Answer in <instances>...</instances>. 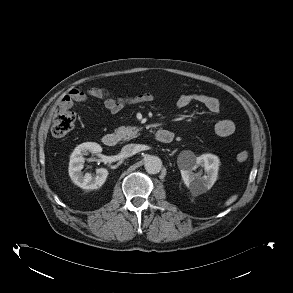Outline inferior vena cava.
Returning a JSON list of instances; mask_svg holds the SVG:
<instances>
[{"mask_svg": "<svg viewBox=\"0 0 293 293\" xmlns=\"http://www.w3.org/2000/svg\"><path fill=\"white\" fill-rule=\"evenodd\" d=\"M138 152V148L135 144H128L125 145L122 149H121V154L124 157H130L134 154H136Z\"/></svg>", "mask_w": 293, "mask_h": 293, "instance_id": "602c4592", "label": "inferior vena cava"}]
</instances>
